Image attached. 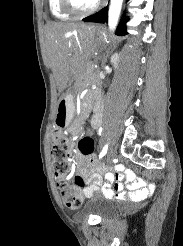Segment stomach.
Instances as JSON below:
<instances>
[{
    "label": "stomach",
    "instance_id": "obj_1",
    "mask_svg": "<svg viewBox=\"0 0 183 246\" xmlns=\"http://www.w3.org/2000/svg\"><path fill=\"white\" fill-rule=\"evenodd\" d=\"M101 38V32L94 33V39L97 41ZM75 112L74 97L71 93L63 94L57 104V112L55 116V124L59 128H66L71 123Z\"/></svg>",
    "mask_w": 183,
    "mask_h": 246
}]
</instances>
